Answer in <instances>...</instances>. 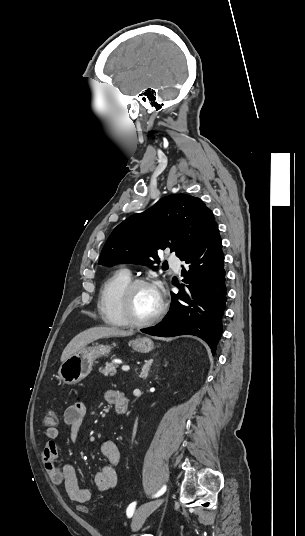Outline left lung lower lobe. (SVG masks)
Listing matches in <instances>:
<instances>
[{
	"label": "left lung lower lobe",
	"mask_w": 305,
	"mask_h": 536,
	"mask_svg": "<svg viewBox=\"0 0 305 536\" xmlns=\"http://www.w3.org/2000/svg\"><path fill=\"white\" fill-rule=\"evenodd\" d=\"M185 262L180 292L172 293L168 315L154 327L141 330L154 336H198L208 343L212 353L221 338L225 310L224 255L218 226L190 254L180 258Z\"/></svg>",
	"instance_id": "0a47b994"
}]
</instances>
